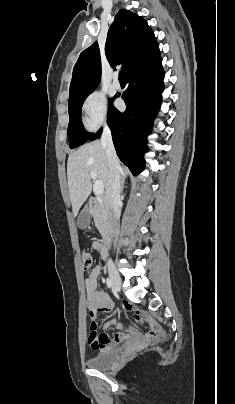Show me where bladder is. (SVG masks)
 Masks as SVG:
<instances>
[{"label": "bladder", "mask_w": 235, "mask_h": 404, "mask_svg": "<svg viewBox=\"0 0 235 404\" xmlns=\"http://www.w3.org/2000/svg\"><path fill=\"white\" fill-rule=\"evenodd\" d=\"M121 358V351L118 347L101 348L97 354L88 360V365L96 370L111 368Z\"/></svg>", "instance_id": "obj_1"}]
</instances>
